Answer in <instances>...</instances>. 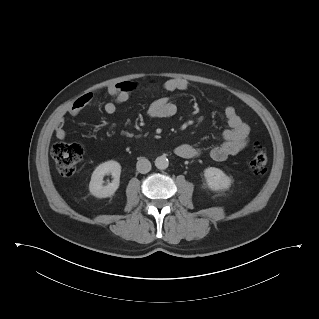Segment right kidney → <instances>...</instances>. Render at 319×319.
I'll return each mask as SVG.
<instances>
[{
  "instance_id": "ca27d5eb",
  "label": "right kidney",
  "mask_w": 319,
  "mask_h": 319,
  "mask_svg": "<svg viewBox=\"0 0 319 319\" xmlns=\"http://www.w3.org/2000/svg\"><path fill=\"white\" fill-rule=\"evenodd\" d=\"M106 174L113 176V181L107 186H103V177ZM121 165L117 161H107L93 171L89 183L90 193L97 198H106L113 195L120 184Z\"/></svg>"
}]
</instances>
